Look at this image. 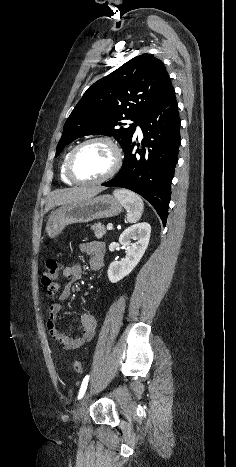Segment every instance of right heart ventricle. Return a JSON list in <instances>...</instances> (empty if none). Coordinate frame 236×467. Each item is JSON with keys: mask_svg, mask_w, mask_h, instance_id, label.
I'll return each instance as SVG.
<instances>
[{"mask_svg": "<svg viewBox=\"0 0 236 467\" xmlns=\"http://www.w3.org/2000/svg\"><path fill=\"white\" fill-rule=\"evenodd\" d=\"M70 153H71V151L67 152V153L64 155V157H63V159H62V162H61V165H60V177H61V180H62L64 183L68 184V185L74 184V183H73L70 179H68V177L66 176V170H65V168H66V162H67V159H68Z\"/></svg>", "mask_w": 236, "mask_h": 467, "instance_id": "1", "label": "right heart ventricle"}]
</instances>
